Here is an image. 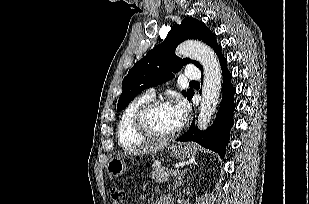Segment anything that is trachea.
Returning <instances> with one entry per match:
<instances>
[{
	"mask_svg": "<svg viewBox=\"0 0 309 204\" xmlns=\"http://www.w3.org/2000/svg\"><path fill=\"white\" fill-rule=\"evenodd\" d=\"M190 84H198V82L197 81H192V82H190Z\"/></svg>",
	"mask_w": 309,
	"mask_h": 204,
	"instance_id": "trachea-1",
	"label": "trachea"
}]
</instances>
